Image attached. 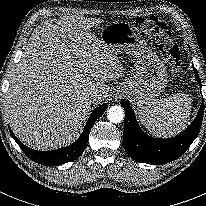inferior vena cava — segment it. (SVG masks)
<instances>
[{
  "instance_id": "inferior-vena-cava-1",
  "label": "inferior vena cava",
  "mask_w": 206,
  "mask_h": 206,
  "mask_svg": "<svg viewBox=\"0 0 206 206\" xmlns=\"http://www.w3.org/2000/svg\"><path fill=\"white\" fill-rule=\"evenodd\" d=\"M89 98L92 102H95L101 99V95L98 93H92L90 94Z\"/></svg>"
}]
</instances>
